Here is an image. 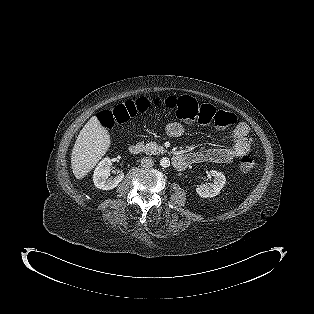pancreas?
Here are the masks:
<instances>
[{"mask_svg": "<svg viewBox=\"0 0 314 314\" xmlns=\"http://www.w3.org/2000/svg\"><path fill=\"white\" fill-rule=\"evenodd\" d=\"M143 149L147 155L163 154L166 152L163 146H159L155 142L147 143Z\"/></svg>", "mask_w": 314, "mask_h": 314, "instance_id": "pancreas-1", "label": "pancreas"}]
</instances>
